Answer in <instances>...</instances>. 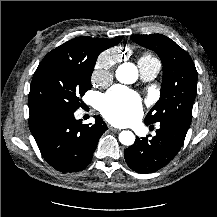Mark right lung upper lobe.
Masks as SVG:
<instances>
[{"mask_svg":"<svg viewBox=\"0 0 217 217\" xmlns=\"http://www.w3.org/2000/svg\"><path fill=\"white\" fill-rule=\"evenodd\" d=\"M121 40L122 37H115L112 39L92 38L86 36L77 37L62 44L47 55L81 62H96L98 55L102 51L117 45Z\"/></svg>","mask_w":217,"mask_h":217,"instance_id":"cb5924a9","label":"right lung upper lobe"}]
</instances>
